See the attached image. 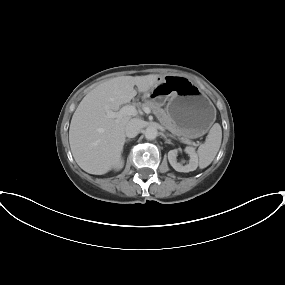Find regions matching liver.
I'll list each match as a JSON object with an SVG mask.
<instances>
[{
  "instance_id": "obj_1",
  "label": "liver",
  "mask_w": 285,
  "mask_h": 285,
  "mask_svg": "<svg viewBox=\"0 0 285 285\" xmlns=\"http://www.w3.org/2000/svg\"><path fill=\"white\" fill-rule=\"evenodd\" d=\"M158 74L120 76L108 79L91 90L75 110L69 128V143L76 163L87 173L103 175L119 161L125 143L130 115L107 117L139 93L157 82Z\"/></svg>"
}]
</instances>
